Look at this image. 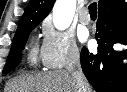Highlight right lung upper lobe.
<instances>
[{
    "instance_id": "obj_1",
    "label": "right lung upper lobe",
    "mask_w": 127,
    "mask_h": 92,
    "mask_svg": "<svg viewBox=\"0 0 127 92\" xmlns=\"http://www.w3.org/2000/svg\"><path fill=\"white\" fill-rule=\"evenodd\" d=\"M54 2L55 0H31L20 19L16 34L27 27L38 25L49 14ZM123 4L124 0H99L98 9H115Z\"/></svg>"
}]
</instances>
